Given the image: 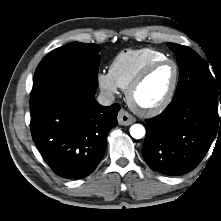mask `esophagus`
<instances>
[{"instance_id": "1", "label": "esophagus", "mask_w": 221, "mask_h": 221, "mask_svg": "<svg viewBox=\"0 0 221 221\" xmlns=\"http://www.w3.org/2000/svg\"><path fill=\"white\" fill-rule=\"evenodd\" d=\"M136 121V118L132 116L130 113L121 109L118 113V123L123 126L131 125Z\"/></svg>"}]
</instances>
